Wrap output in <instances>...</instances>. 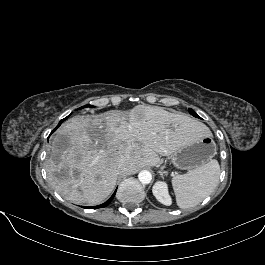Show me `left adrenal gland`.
Returning <instances> with one entry per match:
<instances>
[{
  "label": "left adrenal gland",
  "mask_w": 265,
  "mask_h": 265,
  "mask_svg": "<svg viewBox=\"0 0 265 265\" xmlns=\"http://www.w3.org/2000/svg\"><path fill=\"white\" fill-rule=\"evenodd\" d=\"M166 172H162V171H159V174L161 175V177H163V175L165 174Z\"/></svg>",
  "instance_id": "1"
}]
</instances>
